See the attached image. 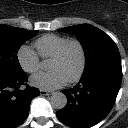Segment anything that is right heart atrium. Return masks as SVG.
Listing matches in <instances>:
<instances>
[{
    "instance_id": "obj_1",
    "label": "right heart atrium",
    "mask_w": 128,
    "mask_h": 128,
    "mask_svg": "<svg viewBox=\"0 0 128 128\" xmlns=\"http://www.w3.org/2000/svg\"><path fill=\"white\" fill-rule=\"evenodd\" d=\"M20 67L27 73H36L41 66L38 53L28 45H22L16 54Z\"/></svg>"
}]
</instances>
